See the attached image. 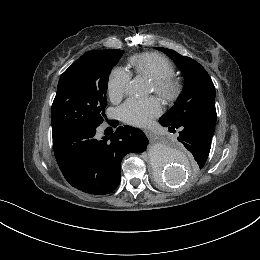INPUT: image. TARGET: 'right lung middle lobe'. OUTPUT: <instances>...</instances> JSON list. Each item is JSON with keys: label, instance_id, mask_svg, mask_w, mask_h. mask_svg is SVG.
I'll use <instances>...</instances> for the list:
<instances>
[{"label": "right lung middle lobe", "instance_id": "1", "mask_svg": "<svg viewBox=\"0 0 260 260\" xmlns=\"http://www.w3.org/2000/svg\"><path fill=\"white\" fill-rule=\"evenodd\" d=\"M123 52H87L61 75L51 111L53 133L99 126L103 122L109 74Z\"/></svg>", "mask_w": 260, "mask_h": 260}]
</instances>
